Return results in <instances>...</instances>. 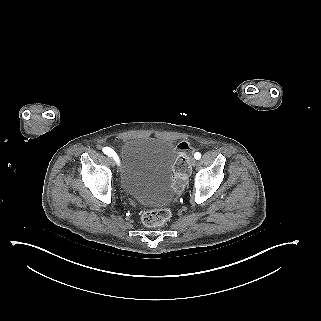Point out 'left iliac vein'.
Returning a JSON list of instances; mask_svg holds the SVG:
<instances>
[{"mask_svg": "<svg viewBox=\"0 0 321 321\" xmlns=\"http://www.w3.org/2000/svg\"><path fill=\"white\" fill-rule=\"evenodd\" d=\"M190 164H191L192 166H196L197 160L194 159V158H191V159H190Z\"/></svg>", "mask_w": 321, "mask_h": 321, "instance_id": "1", "label": "left iliac vein"}]
</instances>
